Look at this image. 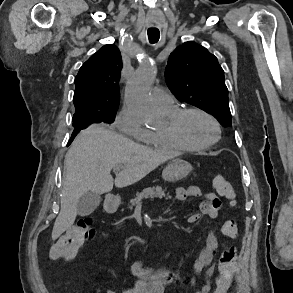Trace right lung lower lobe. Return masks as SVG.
Wrapping results in <instances>:
<instances>
[{
  "label": "right lung lower lobe",
  "instance_id": "1",
  "mask_svg": "<svg viewBox=\"0 0 293 293\" xmlns=\"http://www.w3.org/2000/svg\"><path fill=\"white\" fill-rule=\"evenodd\" d=\"M81 131V129H74L72 136L68 142V145L73 141V139L75 138V136Z\"/></svg>",
  "mask_w": 293,
  "mask_h": 293
}]
</instances>
